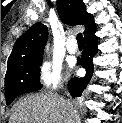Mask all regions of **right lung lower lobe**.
<instances>
[{"label":"right lung lower lobe","mask_w":122,"mask_h":123,"mask_svg":"<svg viewBox=\"0 0 122 123\" xmlns=\"http://www.w3.org/2000/svg\"><path fill=\"white\" fill-rule=\"evenodd\" d=\"M95 31L85 36L86 47L82 53L81 59L78 58L77 64H81L86 69V75L83 78H73L68 84V89L73 98L80 97L93 74V62L92 59L97 53V38Z\"/></svg>","instance_id":"right-lung-lower-lobe-1"}]
</instances>
